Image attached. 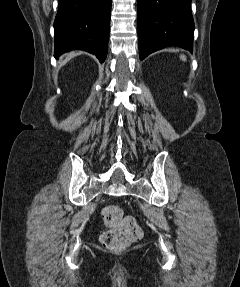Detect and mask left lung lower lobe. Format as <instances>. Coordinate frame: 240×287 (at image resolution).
<instances>
[{
    "label": "left lung lower lobe",
    "mask_w": 240,
    "mask_h": 287,
    "mask_svg": "<svg viewBox=\"0 0 240 287\" xmlns=\"http://www.w3.org/2000/svg\"><path fill=\"white\" fill-rule=\"evenodd\" d=\"M191 0H137L139 58L167 46L193 52Z\"/></svg>",
    "instance_id": "obj_1"
}]
</instances>
